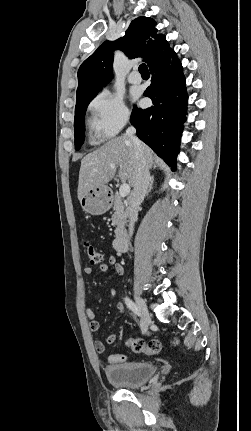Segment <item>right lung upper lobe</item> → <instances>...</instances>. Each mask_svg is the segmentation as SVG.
Returning <instances> with one entry per match:
<instances>
[{"instance_id": "cb5924a9", "label": "right lung upper lobe", "mask_w": 251, "mask_h": 431, "mask_svg": "<svg viewBox=\"0 0 251 431\" xmlns=\"http://www.w3.org/2000/svg\"><path fill=\"white\" fill-rule=\"evenodd\" d=\"M152 18L138 17L131 22L123 37L105 41L78 70L76 97L100 91L111 80L113 51L119 49L129 58L144 57L149 68L164 63L173 54L166 38L157 33Z\"/></svg>"}]
</instances>
